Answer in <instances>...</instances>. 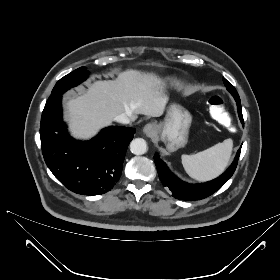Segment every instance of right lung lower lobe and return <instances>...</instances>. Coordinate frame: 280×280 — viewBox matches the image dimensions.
<instances>
[{"instance_id":"right-lung-lower-lobe-1","label":"right lung lower lobe","mask_w":280,"mask_h":280,"mask_svg":"<svg viewBox=\"0 0 280 280\" xmlns=\"http://www.w3.org/2000/svg\"><path fill=\"white\" fill-rule=\"evenodd\" d=\"M61 98L47 101L41 117L44 160L54 176L81 195H101L120 179L123 161L135 128L108 127L90 141H77L62 121Z\"/></svg>"}]
</instances>
